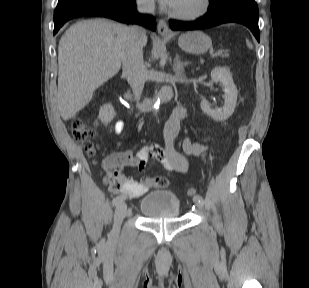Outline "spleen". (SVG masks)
<instances>
[{
	"label": "spleen",
	"mask_w": 309,
	"mask_h": 288,
	"mask_svg": "<svg viewBox=\"0 0 309 288\" xmlns=\"http://www.w3.org/2000/svg\"><path fill=\"white\" fill-rule=\"evenodd\" d=\"M247 45L248 47L252 48V45L249 42H247Z\"/></svg>",
	"instance_id": "spleen-1"
}]
</instances>
